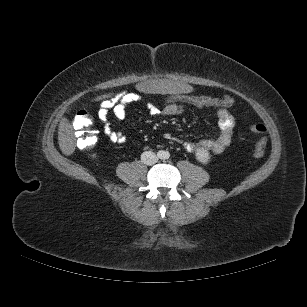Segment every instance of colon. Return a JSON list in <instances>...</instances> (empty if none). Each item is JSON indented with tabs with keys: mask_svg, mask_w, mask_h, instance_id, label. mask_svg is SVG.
<instances>
[{
	"mask_svg": "<svg viewBox=\"0 0 307 307\" xmlns=\"http://www.w3.org/2000/svg\"><path fill=\"white\" fill-rule=\"evenodd\" d=\"M149 102L164 107L170 104H188L196 107H217L227 108L233 104V99L229 95L211 96V95H195V94H172L165 95L158 99H152ZM75 130L77 143L80 149L91 151L98 142L96 131L92 129V117L86 110L79 111L72 123ZM251 130L259 135L256 145L253 149L255 157H262L266 150L265 134L267 128L261 123H252Z\"/></svg>",
	"mask_w": 307,
	"mask_h": 307,
	"instance_id": "1",
	"label": "colon"
}]
</instances>
